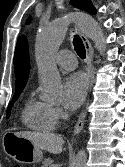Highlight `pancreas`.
Wrapping results in <instances>:
<instances>
[{
	"label": "pancreas",
	"instance_id": "obj_1",
	"mask_svg": "<svg viewBox=\"0 0 125 167\" xmlns=\"http://www.w3.org/2000/svg\"><path fill=\"white\" fill-rule=\"evenodd\" d=\"M42 167H54V166H53V160L50 159V158L45 159V160L42 162Z\"/></svg>",
	"mask_w": 125,
	"mask_h": 167
}]
</instances>
